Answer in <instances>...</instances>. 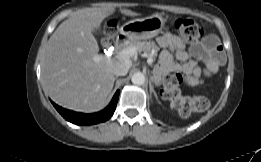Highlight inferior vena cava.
<instances>
[{
  "instance_id": "inferior-vena-cava-1",
  "label": "inferior vena cava",
  "mask_w": 261,
  "mask_h": 162,
  "mask_svg": "<svg viewBox=\"0 0 261 162\" xmlns=\"http://www.w3.org/2000/svg\"><path fill=\"white\" fill-rule=\"evenodd\" d=\"M131 61H118L114 65L113 73L116 76H125L128 73L129 68L131 67Z\"/></svg>"
}]
</instances>
